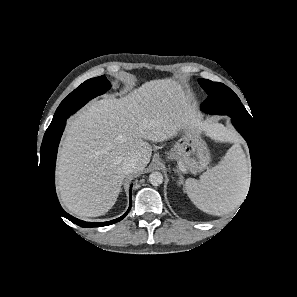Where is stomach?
Wrapping results in <instances>:
<instances>
[{
  "label": "stomach",
  "mask_w": 297,
  "mask_h": 297,
  "mask_svg": "<svg viewBox=\"0 0 297 297\" xmlns=\"http://www.w3.org/2000/svg\"><path fill=\"white\" fill-rule=\"evenodd\" d=\"M167 158L176 161L191 173L205 170L211 160L210 151L201 131L191 125L183 127L181 138L167 153Z\"/></svg>",
  "instance_id": "0dacf381"
}]
</instances>
